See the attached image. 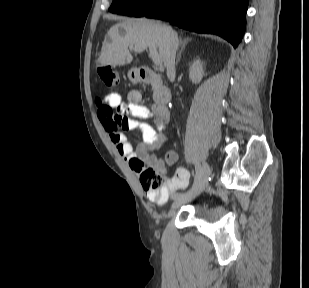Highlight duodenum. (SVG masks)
Returning <instances> with one entry per match:
<instances>
[{
	"label": "duodenum",
	"mask_w": 309,
	"mask_h": 288,
	"mask_svg": "<svg viewBox=\"0 0 309 288\" xmlns=\"http://www.w3.org/2000/svg\"><path fill=\"white\" fill-rule=\"evenodd\" d=\"M137 74L142 82L154 85V101L157 106L160 108L167 107L171 99V93L168 88L164 86L161 78L147 67L138 68Z\"/></svg>",
	"instance_id": "duodenum-1"
}]
</instances>
